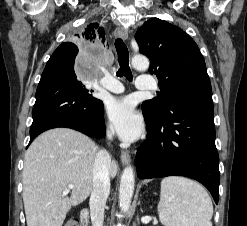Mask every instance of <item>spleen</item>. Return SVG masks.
<instances>
[{"instance_id":"3e777b00","label":"spleen","mask_w":247,"mask_h":226,"mask_svg":"<svg viewBox=\"0 0 247 226\" xmlns=\"http://www.w3.org/2000/svg\"><path fill=\"white\" fill-rule=\"evenodd\" d=\"M160 220L166 226H212L213 205L197 182L178 176L161 182Z\"/></svg>"}]
</instances>
